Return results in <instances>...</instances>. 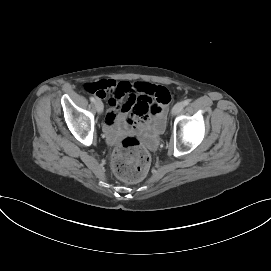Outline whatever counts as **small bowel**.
Returning <instances> with one entry per match:
<instances>
[{"mask_svg":"<svg viewBox=\"0 0 271 271\" xmlns=\"http://www.w3.org/2000/svg\"><path fill=\"white\" fill-rule=\"evenodd\" d=\"M102 92L97 95L109 98L104 129L110 142H115L123 129L135 132L160 131L165 123V107L169 100H161L160 91L169 94L162 87L147 82L131 84L126 81L103 80ZM127 96L125 102L122 99Z\"/></svg>","mask_w":271,"mask_h":271,"instance_id":"1","label":"small bowel"}]
</instances>
